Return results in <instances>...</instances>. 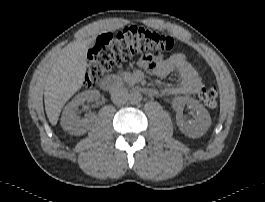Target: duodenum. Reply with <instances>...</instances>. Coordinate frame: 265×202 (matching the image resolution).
<instances>
[{"label":"duodenum","mask_w":265,"mask_h":202,"mask_svg":"<svg viewBox=\"0 0 265 202\" xmlns=\"http://www.w3.org/2000/svg\"><path fill=\"white\" fill-rule=\"evenodd\" d=\"M117 84H118V81L113 76L103 77L100 81V87L103 90H107V91H113L116 88ZM139 90H141L147 95H153L155 92L154 89L147 87V86L139 87Z\"/></svg>","instance_id":"410a0bca"}]
</instances>
